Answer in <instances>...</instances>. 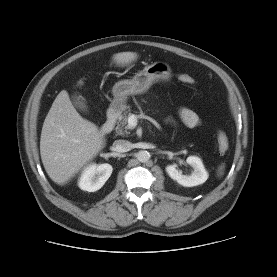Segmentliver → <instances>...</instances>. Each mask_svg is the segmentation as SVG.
I'll use <instances>...</instances> for the list:
<instances>
[{"label": "liver", "instance_id": "6515ba94", "mask_svg": "<svg viewBox=\"0 0 277 277\" xmlns=\"http://www.w3.org/2000/svg\"><path fill=\"white\" fill-rule=\"evenodd\" d=\"M138 58L134 52H120L112 56L119 66ZM106 139L100 129L76 111L66 90L55 98L43 123L40 155L50 179L64 185L88 165L105 147Z\"/></svg>", "mask_w": 277, "mask_h": 277}]
</instances>
